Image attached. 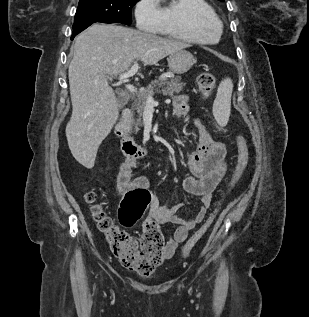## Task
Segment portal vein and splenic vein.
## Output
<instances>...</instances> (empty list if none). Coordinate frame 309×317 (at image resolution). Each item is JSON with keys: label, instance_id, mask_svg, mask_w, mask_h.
Instances as JSON below:
<instances>
[{"label": "portal vein and splenic vein", "instance_id": "1", "mask_svg": "<svg viewBox=\"0 0 309 317\" xmlns=\"http://www.w3.org/2000/svg\"><path fill=\"white\" fill-rule=\"evenodd\" d=\"M138 70V63L137 62H134L133 66L131 67L130 70H128L127 72H124V73H121L120 76H119V80L122 81V80H125L131 76H133ZM126 88L133 92V93H136L137 92V89L135 88V86L131 85V84H127L126 85ZM147 106H154L155 105V101H154V98L153 96L149 95L147 97Z\"/></svg>", "mask_w": 309, "mask_h": 317}]
</instances>
